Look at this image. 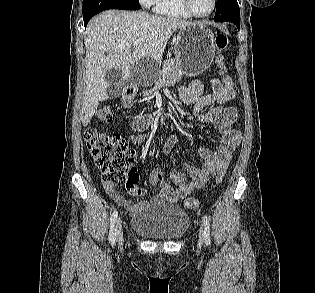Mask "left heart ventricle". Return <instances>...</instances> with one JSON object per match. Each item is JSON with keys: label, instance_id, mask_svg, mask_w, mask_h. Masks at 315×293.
Instances as JSON below:
<instances>
[{"label": "left heart ventricle", "instance_id": "left-heart-ventricle-1", "mask_svg": "<svg viewBox=\"0 0 315 293\" xmlns=\"http://www.w3.org/2000/svg\"><path fill=\"white\" fill-rule=\"evenodd\" d=\"M192 7L198 14L208 13L213 5L212 0H191Z\"/></svg>", "mask_w": 315, "mask_h": 293}]
</instances>
